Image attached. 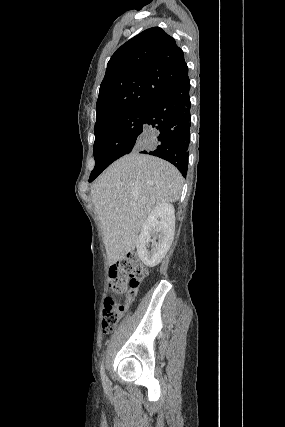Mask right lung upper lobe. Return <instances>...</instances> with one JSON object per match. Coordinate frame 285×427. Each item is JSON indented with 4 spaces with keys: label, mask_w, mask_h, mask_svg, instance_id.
Masks as SVG:
<instances>
[{
    "label": "right lung upper lobe",
    "mask_w": 285,
    "mask_h": 427,
    "mask_svg": "<svg viewBox=\"0 0 285 427\" xmlns=\"http://www.w3.org/2000/svg\"><path fill=\"white\" fill-rule=\"evenodd\" d=\"M188 77L183 51L161 28L123 44L107 64L96 104L95 127L149 102Z\"/></svg>",
    "instance_id": "cb5924a9"
}]
</instances>
